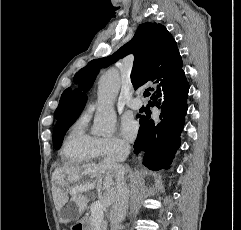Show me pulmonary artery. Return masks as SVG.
<instances>
[{
  "instance_id": "e3ab8cb5",
  "label": "pulmonary artery",
  "mask_w": 241,
  "mask_h": 230,
  "mask_svg": "<svg viewBox=\"0 0 241 230\" xmlns=\"http://www.w3.org/2000/svg\"><path fill=\"white\" fill-rule=\"evenodd\" d=\"M126 104L128 107L137 110L139 108H141V106L143 105V102L139 99V98H130L126 101ZM96 105L94 103H90L88 105L87 111L88 112H92L95 109Z\"/></svg>"
}]
</instances>
